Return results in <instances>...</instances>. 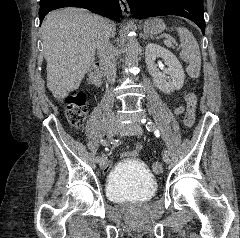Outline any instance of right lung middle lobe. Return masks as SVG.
I'll use <instances>...</instances> for the list:
<instances>
[{
	"instance_id": "dd1d6c3e",
	"label": "right lung middle lobe",
	"mask_w": 240,
	"mask_h": 238,
	"mask_svg": "<svg viewBox=\"0 0 240 238\" xmlns=\"http://www.w3.org/2000/svg\"><path fill=\"white\" fill-rule=\"evenodd\" d=\"M46 0H40V4L44 3Z\"/></svg>"
}]
</instances>
